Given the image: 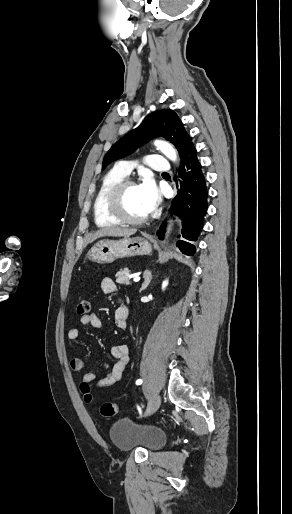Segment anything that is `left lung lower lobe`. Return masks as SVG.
Listing matches in <instances>:
<instances>
[{
  "label": "left lung lower lobe",
  "mask_w": 292,
  "mask_h": 514,
  "mask_svg": "<svg viewBox=\"0 0 292 514\" xmlns=\"http://www.w3.org/2000/svg\"><path fill=\"white\" fill-rule=\"evenodd\" d=\"M196 153V148L191 143L181 158V167L179 168V177L182 179L181 189L173 199L170 209L182 219L181 235L178 238L186 239L177 241L176 246L182 253L189 256L195 253L196 248L191 242L197 241L200 235L208 207L206 180ZM164 232L165 223L158 231L160 239H163Z\"/></svg>",
  "instance_id": "0a47b994"
}]
</instances>
